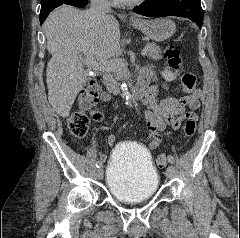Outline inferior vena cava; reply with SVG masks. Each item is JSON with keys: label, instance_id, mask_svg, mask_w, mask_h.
Instances as JSON below:
<instances>
[{"label": "inferior vena cava", "instance_id": "inferior-vena-cava-1", "mask_svg": "<svg viewBox=\"0 0 240 238\" xmlns=\"http://www.w3.org/2000/svg\"><path fill=\"white\" fill-rule=\"evenodd\" d=\"M111 11L108 0H91L89 13L97 17H105Z\"/></svg>", "mask_w": 240, "mask_h": 238}]
</instances>
